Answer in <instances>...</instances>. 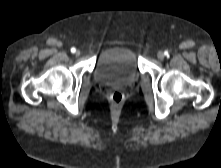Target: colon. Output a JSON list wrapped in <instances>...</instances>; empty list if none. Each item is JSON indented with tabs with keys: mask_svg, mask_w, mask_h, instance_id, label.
Returning <instances> with one entry per match:
<instances>
[{
	"mask_svg": "<svg viewBox=\"0 0 221 168\" xmlns=\"http://www.w3.org/2000/svg\"><path fill=\"white\" fill-rule=\"evenodd\" d=\"M124 99L123 94L120 91H115L113 93H111L110 95V100L112 102L113 105L118 106L122 103Z\"/></svg>",
	"mask_w": 221,
	"mask_h": 168,
	"instance_id": "obj_1",
	"label": "colon"
}]
</instances>
